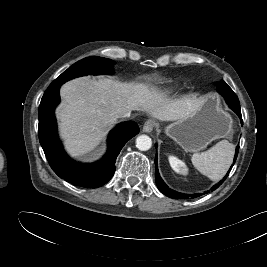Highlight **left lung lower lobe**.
<instances>
[{"instance_id": "1", "label": "left lung lower lobe", "mask_w": 267, "mask_h": 267, "mask_svg": "<svg viewBox=\"0 0 267 267\" xmlns=\"http://www.w3.org/2000/svg\"><path fill=\"white\" fill-rule=\"evenodd\" d=\"M219 93L225 98L226 103L228 104V106L239 116V118L241 119V124H243L242 121V116H241V110H240V103L239 100L236 96V94L232 91L231 88H228L226 91H219ZM238 150H239V145L236 147V153H235V157H234V161L237 158V154H238ZM158 163H157V156L155 158V179H156V185L158 187V189L165 194L166 196L170 197V198H175V199H182V198H196L202 195V193L200 194H194V195H189V194H183V193H179L177 191H173L171 190L165 183L164 181L161 179L159 172H158ZM233 166V165H232ZM231 166V168H232ZM230 168V170H231ZM230 170L228 171L227 175L223 178V180L226 179V177L228 176ZM220 181L218 184H216L213 189H215L217 186H219L222 182Z\"/></svg>"}]
</instances>
